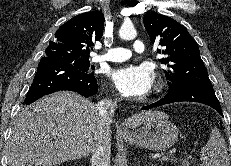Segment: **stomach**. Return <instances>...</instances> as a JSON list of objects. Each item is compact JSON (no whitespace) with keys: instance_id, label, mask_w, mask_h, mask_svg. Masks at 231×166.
<instances>
[{"instance_id":"1","label":"stomach","mask_w":231,"mask_h":166,"mask_svg":"<svg viewBox=\"0 0 231 166\" xmlns=\"http://www.w3.org/2000/svg\"><path fill=\"white\" fill-rule=\"evenodd\" d=\"M177 138V127L168 121L167 115L157 113L124 140L145 149L161 151L170 148Z\"/></svg>"}]
</instances>
